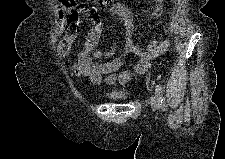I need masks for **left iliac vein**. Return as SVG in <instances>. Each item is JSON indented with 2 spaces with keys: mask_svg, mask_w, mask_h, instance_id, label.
Wrapping results in <instances>:
<instances>
[{
  "mask_svg": "<svg viewBox=\"0 0 225 159\" xmlns=\"http://www.w3.org/2000/svg\"><path fill=\"white\" fill-rule=\"evenodd\" d=\"M150 103H151V106H152L154 111L159 107V104H160L157 96H152L151 99H150Z\"/></svg>",
  "mask_w": 225,
  "mask_h": 159,
  "instance_id": "left-iliac-vein-1",
  "label": "left iliac vein"
}]
</instances>
